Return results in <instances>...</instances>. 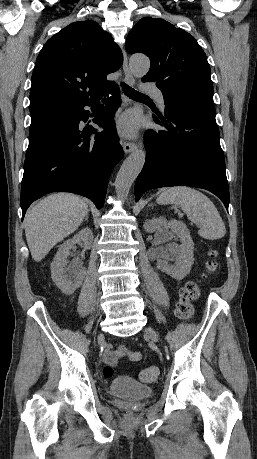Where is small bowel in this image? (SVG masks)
I'll return each instance as SVG.
<instances>
[{"instance_id": "obj_1", "label": "small bowel", "mask_w": 257, "mask_h": 459, "mask_svg": "<svg viewBox=\"0 0 257 459\" xmlns=\"http://www.w3.org/2000/svg\"><path fill=\"white\" fill-rule=\"evenodd\" d=\"M141 357L142 355L139 352L131 351L123 345H120L115 349L108 348L104 352V361L111 365H115L121 358H128L131 361H138L141 359Z\"/></svg>"}]
</instances>
